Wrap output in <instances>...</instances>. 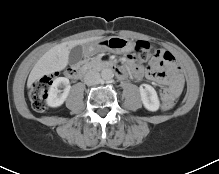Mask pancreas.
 <instances>
[{
  "label": "pancreas",
  "instance_id": "1",
  "mask_svg": "<svg viewBox=\"0 0 219 174\" xmlns=\"http://www.w3.org/2000/svg\"><path fill=\"white\" fill-rule=\"evenodd\" d=\"M102 63L103 62L101 61V59L99 57H94V58L88 59L85 64L90 69L91 68L98 69V68H100Z\"/></svg>",
  "mask_w": 219,
  "mask_h": 174
}]
</instances>
